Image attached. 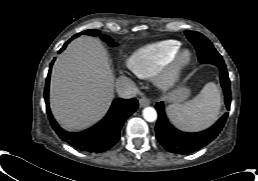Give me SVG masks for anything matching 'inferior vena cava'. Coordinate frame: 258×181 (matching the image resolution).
Returning <instances> with one entry per match:
<instances>
[{
  "label": "inferior vena cava",
  "instance_id": "602c4592",
  "mask_svg": "<svg viewBox=\"0 0 258 181\" xmlns=\"http://www.w3.org/2000/svg\"><path fill=\"white\" fill-rule=\"evenodd\" d=\"M116 90L118 95L125 99L135 97L138 93V88L134 81L125 76L118 78L116 82Z\"/></svg>",
  "mask_w": 258,
  "mask_h": 181
}]
</instances>
